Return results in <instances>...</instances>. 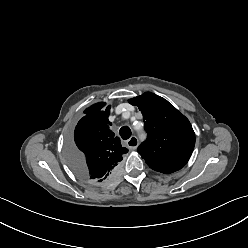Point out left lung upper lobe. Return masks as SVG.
Listing matches in <instances>:
<instances>
[{
    "label": "left lung upper lobe",
    "mask_w": 248,
    "mask_h": 248,
    "mask_svg": "<svg viewBox=\"0 0 248 248\" xmlns=\"http://www.w3.org/2000/svg\"><path fill=\"white\" fill-rule=\"evenodd\" d=\"M143 115L147 140L137 149L153 170L170 174L188 162L195 146L189 120L164 98L146 92L129 99Z\"/></svg>",
    "instance_id": "1"
}]
</instances>
